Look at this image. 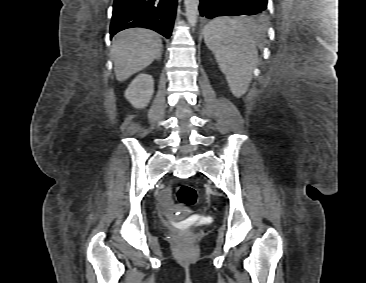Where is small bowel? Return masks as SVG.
Wrapping results in <instances>:
<instances>
[{
  "label": "small bowel",
  "mask_w": 366,
  "mask_h": 283,
  "mask_svg": "<svg viewBox=\"0 0 366 283\" xmlns=\"http://www.w3.org/2000/svg\"><path fill=\"white\" fill-rule=\"evenodd\" d=\"M159 204L162 209H167L171 205L170 188H164L159 195Z\"/></svg>",
  "instance_id": "c3829d8e"
}]
</instances>
